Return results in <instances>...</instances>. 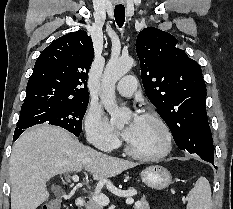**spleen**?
I'll return each instance as SVG.
<instances>
[{
  "mask_svg": "<svg viewBox=\"0 0 233 209\" xmlns=\"http://www.w3.org/2000/svg\"><path fill=\"white\" fill-rule=\"evenodd\" d=\"M187 209H211V187L209 181L201 176L187 197Z\"/></svg>",
  "mask_w": 233,
  "mask_h": 209,
  "instance_id": "spleen-1",
  "label": "spleen"
}]
</instances>
